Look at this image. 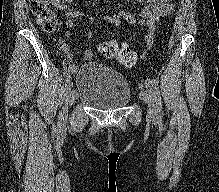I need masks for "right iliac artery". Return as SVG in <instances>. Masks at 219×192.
<instances>
[{"label":"right iliac artery","mask_w":219,"mask_h":192,"mask_svg":"<svg viewBox=\"0 0 219 192\" xmlns=\"http://www.w3.org/2000/svg\"><path fill=\"white\" fill-rule=\"evenodd\" d=\"M70 78H71L70 75H67L66 78H65L66 82H69Z\"/></svg>","instance_id":"1"}]
</instances>
